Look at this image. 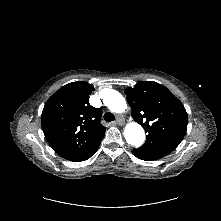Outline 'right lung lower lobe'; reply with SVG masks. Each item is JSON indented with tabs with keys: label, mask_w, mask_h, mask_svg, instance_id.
<instances>
[{
	"label": "right lung lower lobe",
	"mask_w": 221,
	"mask_h": 221,
	"mask_svg": "<svg viewBox=\"0 0 221 221\" xmlns=\"http://www.w3.org/2000/svg\"><path fill=\"white\" fill-rule=\"evenodd\" d=\"M101 140L90 151H88L84 156H82L80 159L76 160L75 162H80L89 159L97 151Z\"/></svg>",
	"instance_id": "right-lung-lower-lobe-1"
}]
</instances>
